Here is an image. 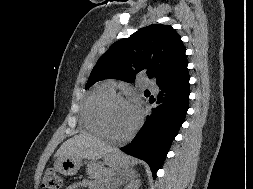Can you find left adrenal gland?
I'll use <instances>...</instances> for the list:
<instances>
[{"mask_svg": "<svg viewBox=\"0 0 253 189\" xmlns=\"http://www.w3.org/2000/svg\"><path fill=\"white\" fill-rule=\"evenodd\" d=\"M135 171H131L130 172V174L128 175L130 178H135V177H137L138 175H135ZM117 184H118V182H117ZM117 184H115V187L114 188H117L118 187V185Z\"/></svg>", "mask_w": 253, "mask_h": 189, "instance_id": "1", "label": "left adrenal gland"}]
</instances>
